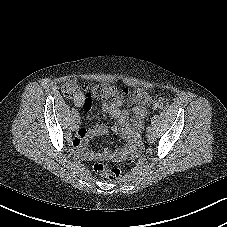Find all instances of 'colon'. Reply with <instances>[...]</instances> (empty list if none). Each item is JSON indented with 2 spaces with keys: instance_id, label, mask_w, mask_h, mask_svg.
I'll return each instance as SVG.
<instances>
[{
  "instance_id": "colon-1",
  "label": "colon",
  "mask_w": 227,
  "mask_h": 227,
  "mask_svg": "<svg viewBox=\"0 0 227 227\" xmlns=\"http://www.w3.org/2000/svg\"><path fill=\"white\" fill-rule=\"evenodd\" d=\"M88 101L92 99H107L109 97L116 98L122 96L117 89L109 84L100 83L84 87ZM81 90V85L75 78H68L62 84V92L68 97H74ZM136 101L146 104L150 101V95L144 90H136L131 94ZM168 101L166 98L159 96L155 99L153 107L157 110H166L168 108ZM96 174L105 176L109 180H117L120 177V170L116 167L107 166L104 163H95L92 167Z\"/></svg>"
}]
</instances>
